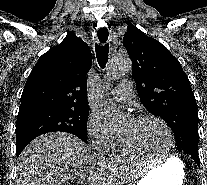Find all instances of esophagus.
Masks as SVG:
<instances>
[{
    "mask_svg": "<svg viewBox=\"0 0 207 185\" xmlns=\"http://www.w3.org/2000/svg\"><path fill=\"white\" fill-rule=\"evenodd\" d=\"M97 30H94L93 33L95 34L94 35V38L96 41H98L99 39V43H108V37H109V34L108 33H97ZM99 30H108V25H106V22H104V25H99Z\"/></svg>",
    "mask_w": 207,
    "mask_h": 185,
    "instance_id": "esophagus-1",
    "label": "esophagus"
}]
</instances>
